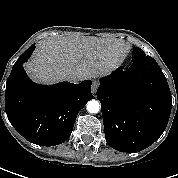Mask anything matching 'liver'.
<instances>
[{"label": "liver", "mask_w": 178, "mask_h": 178, "mask_svg": "<svg viewBox=\"0 0 178 178\" xmlns=\"http://www.w3.org/2000/svg\"><path fill=\"white\" fill-rule=\"evenodd\" d=\"M128 46L120 40L52 37L41 40L26 70L34 81L50 83L77 75L81 80L110 73Z\"/></svg>", "instance_id": "1"}]
</instances>
